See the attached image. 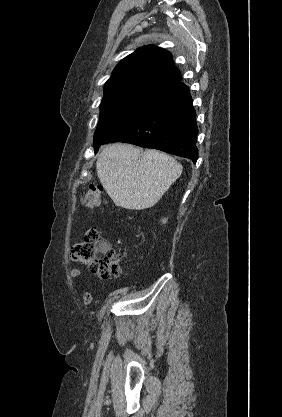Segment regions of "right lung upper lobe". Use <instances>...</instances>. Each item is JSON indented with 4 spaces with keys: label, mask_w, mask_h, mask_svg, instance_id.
I'll list each match as a JSON object with an SVG mask.
<instances>
[{
    "label": "right lung upper lobe",
    "mask_w": 282,
    "mask_h": 417,
    "mask_svg": "<svg viewBox=\"0 0 282 417\" xmlns=\"http://www.w3.org/2000/svg\"><path fill=\"white\" fill-rule=\"evenodd\" d=\"M181 79L172 55L164 49L148 45L119 62L105 83L104 94L131 90L159 94Z\"/></svg>",
    "instance_id": "cb5924a9"
}]
</instances>
